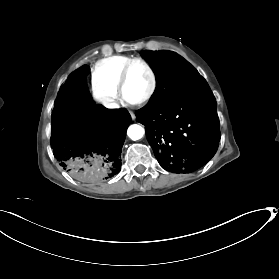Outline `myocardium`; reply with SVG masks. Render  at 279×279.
I'll return each instance as SVG.
<instances>
[{
	"instance_id": "f54148a6",
	"label": "myocardium",
	"mask_w": 279,
	"mask_h": 279,
	"mask_svg": "<svg viewBox=\"0 0 279 279\" xmlns=\"http://www.w3.org/2000/svg\"><path fill=\"white\" fill-rule=\"evenodd\" d=\"M135 64H141L142 66H144L146 68V70L148 71V73L150 74V77H151V86H150V89L147 92V94L144 97H142L141 99L136 100V101H128L125 97L126 82H127V77H128L129 71L132 68V66ZM156 89H157V76H156L154 69L151 67V65L148 62H146L142 58H133L124 65V67L122 68V70L119 74V77H118V94L121 98V101L124 104L130 105V106L143 105L152 99V97L154 96V94L156 92Z\"/></svg>"
}]
</instances>
